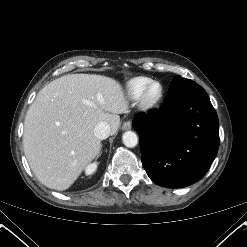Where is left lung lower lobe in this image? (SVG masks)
I'll use <instances>...</instances> for the list:
<instances>
[{
  "label": "left lung lower lobe",
  "instance_id": "obj_1",
  "mask_svg": "<svg viewBox=\"0 0 247 247\" xmlns=\"http://www.w3.org/2000/svg\"><path fill=\"white\" fill-rule=\"evenodd\" d=\"M140 134L142 164L160 186L182 188L200 180L219 147L217 114L195 82L172 84L159 110L132 122Z\"/></svg>",
  "mask_w": 247,
  "mask_h": 247
}]
</instances>
